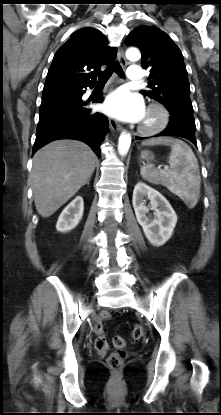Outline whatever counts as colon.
<instances>
[{
	"label": "colon",
	"mask_w": 221,
	"mask_h": 415,
	"mask_svg": "<svg viewBox=\"0 0 221 415\" xmlns=\"http://www.w3.org/2000/svg\"><path fill=\"white\" fill-rule=\"evenodd\" d=\"M111 315L107 311H103L100 313V315L95 320L92 330L96 334V339L94 342L95 348L100 352H105L108 347V341L106 339V336L103 331L102 327V321L110 319ZM144 335V328L140 325H137L133 328L131 336L132 339L137 341L141 339ZM113 344L116 348V351L111 353L108 358L107 362L109 367L115 371L118 372L121 370L124 364V360L126 357L125 347H126V341L121 336L114 337Z\"/></svg>",
	"instance_id": "colon-1"
}]
</instances>
